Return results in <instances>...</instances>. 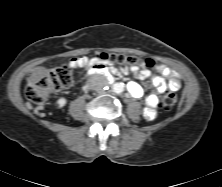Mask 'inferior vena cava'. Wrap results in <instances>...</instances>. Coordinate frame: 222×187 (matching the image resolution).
<instances>
[{
  "label": "inferior vena cava",
  "mask_w": 222,
  "mask_h": 187,
  "mask_svg": "<svg viewBox=\"0 0 222 187\" xmlns=\"http://www.w3.org/2000/svg\"><path fill=\"white\" fill-rule=\"evenodd\" d=\"M108 82L107 79L103 76L100 77V79H98L95 83V90L98 93H102L103 92V87L107 86Z\"/></svg>",
  "instance_id": "602c4592"
}]
</instances>
